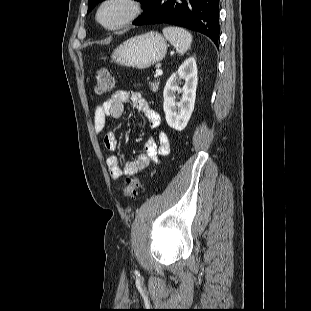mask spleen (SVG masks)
I'll list each match as a JSON object with an SVG mask.
<instances>
[{
	"label": "spleen",
	"instance_id": "1",
	"mask_svg": "<svg viewBox=\"0 0 311 311\" xmlns=\"http://www.w3.org/2000/svg\"><path fill=\"white\" fill-rule=\"evenodd\" d=\"M165 38L176 48V51L183 55L191 47L192 35L179 27H166L163 30Z\"/></svg>",
	"mask_w": 311,
	"mask_h": 311
}]
</instances>
